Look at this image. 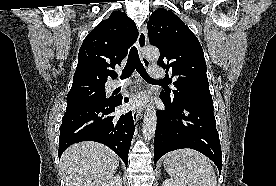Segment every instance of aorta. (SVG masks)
Listing matches in <instances>:
<instances>
[{
	"instance_id": "aorta-1",
	"label": "aorta",
	"mask_w": 276,
	"mask_h": 186,
	"mask_svg": "<svg viewBox=\"0 0 276 186\" xmlns=\"http://www.w3.org/2000/svg\"><path fill=\"white\" fill-rule=\"evenodd\" d=\"M144 56L150 61H157L160 57V52L155 47H146ZM157 126V115L154 104L151 102L147 105L144 114L142 134L143 138L148 141L153 138Z\"/></svg>"
}]
</instances>
